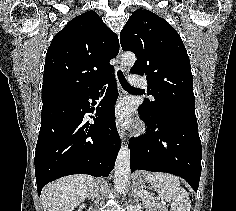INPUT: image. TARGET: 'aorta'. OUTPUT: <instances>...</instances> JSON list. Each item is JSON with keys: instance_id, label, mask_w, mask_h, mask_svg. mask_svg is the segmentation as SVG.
Here are the masks:
<instances>
[{"instance_id": "obj_1", "label": "aorta", "mask_w": 236, "mask_h": 211, "mask_svg": "<svg viewBox=\"0 0 236 211\" xmlns=\"http://www.w3.org/2000/svg\"><path fill=\"white\" fill-rule=\"evenodd\" d=\"M136 56L132 52H126L121 56V65L125 68L133 67ZM130 175V150L127 144L121 145L117 155L114 171V188L118 193H122L127 185Z\"/></svg>"}]
</instances>
